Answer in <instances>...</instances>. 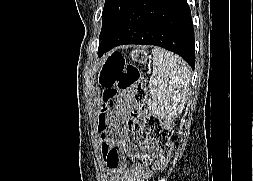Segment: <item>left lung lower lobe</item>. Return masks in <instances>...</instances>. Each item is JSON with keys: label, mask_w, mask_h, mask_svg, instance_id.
<instances>
[{"label": "left lung lower lobe", "mask_w": 253, "mask_h": 181, "mask_svg": "<svg viewBox=\"0 0 253 181\" xmlns=\"http://www.w3.org/2000/svg\"><path fill=\"white\" fill-rule=\"evenodd\" d=\"M123 44L156 45L180 55L194 69V30L186 0H131L101 39V56Z\"/></svg>", "instance_id": "left-lung-lower-lobe-1"}]
</instances>
